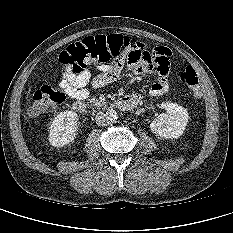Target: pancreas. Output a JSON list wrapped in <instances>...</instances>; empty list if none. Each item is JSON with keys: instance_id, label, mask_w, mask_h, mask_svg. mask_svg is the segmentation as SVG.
<instances>
[{"instance_id": "1", "label": "pancreas", "mask_w": 233, "mask_h": 233, "mask_svg": "<svg viewBox=\"0 0 233 233\" xmlns=\"http://www.w3.org/2000/svg\"><path fill=\"white\" fill-rule=\"evenodd\" d=\"M91 103L95 104L96 106H103L105 105V102L100 101L97 98H91L90 100Z\"/></svg>"}]
</instances>
